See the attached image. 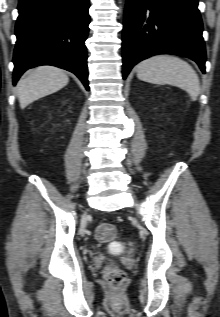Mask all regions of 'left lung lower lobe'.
<instances>
[{
    "label": "left lung lower lobe",
    "mask_w": 220,
    "mask_h": 317,
    "mask_svg": "<svg viewBox=\"0 0 220 317\" xmlns=\"http://www.w3.org/2000/svg\"><path fill=\"white\" fill-rule=\"evenodd\" d=\"M198 0H127L123 30V78L158 53L191 58L205 73L206 52Z\"/></svg>",
    "instance_id": "1"
}]
</instances>
